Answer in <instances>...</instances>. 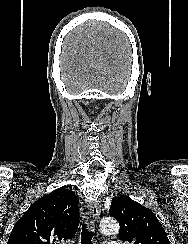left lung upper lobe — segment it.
<instances>
[{
  "instance_id": "obj_1",
  "label": "left lung upper lobe",
  "mask_w": 188,
  "mask_h": 244,
  "mask_svg": "<svg viewBox=\"0 0 188 244\" xmlns=\"http://www.w3.org/2000/svg\"><path fill=\"white\" fill-rule=\"evenodd\" d=\"M120 225V238L130 244H170L154 213L127 195L114 197L109 209Z\"/></svg>"
}]
</instances>
